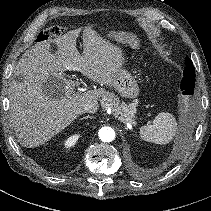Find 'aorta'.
Segmentation results:
<instances>
[{"mask_svg": "<svg viewBox=\"0 0 211 211\" xmlns=\"http://www.w3.org/2000/svg\"><path fill=\"white\" fill-rule=\"evenodd\" d=\"M99 138L103 142H111L115 139V131L113 128L105 126L102 127L98 132Z\"/></svg>", "mask_w": 211, "mask_h": 211, "instance_id": "762f6f07", "label": "aorta"}]
</instances>
